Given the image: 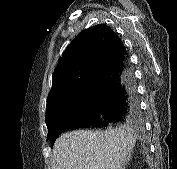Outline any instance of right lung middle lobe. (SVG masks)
<instances>
[{"mask_svg":"<svg viewBox=\"0 0 177 169\" xmlns=\"http://www.w3.org/2000/svg\"><path fill=\"white\" fill-rule=\"evenodd\" d=\"M93 90L92 82H87L82 84L65 99L46 106L45 122L48 128L47 140L51 139L57 127L62 122L82 111L88 105Z\"/></svg>","mask_w":177,"mask_h":169,"instance_id":"1","label":"right lung middle lobe"}]
</instances>
